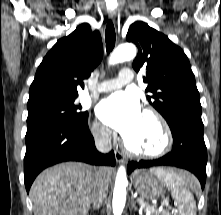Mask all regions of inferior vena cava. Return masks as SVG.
<instances>
[{
    "instance_id": "602c4592",
    "label": "inferior vena cava",
    "mask_w": 221,
    "mask_h": 215,
    "mask_svg": "<svg viewBox=\"0 0 221 215\" xmlns=\"http://www.w3.org/2000/svg\"><path fill=\"white\" fill-rule=\"evenodd\" d=\"M96 148L102 153H108L111 150V132L109 129L102 128L95 137ZM108 185L101 175V168L96 172L95 189L92 196L93 206H99L106 197Z\"/></svg>"
}]
</instances>
